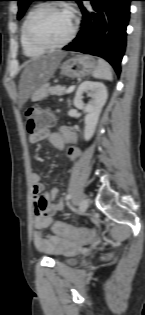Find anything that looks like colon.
<instances>
[{
  "instance_id": "obj_1",
  "label": "colon",
  "mask_w": 145,
  "mask_h": 315,
  "mask_svg": "<svg viewBox=\"0 0 145 315\" xmlns=\"http://www.w3.org/2000/svg\"><path fill=\"white\" fill-rule=\"evenodd\" d=\"M53 122V116L50 112L38 107H30L26 111V130L29 134H34L48 128ZM52 231L64 238L71 240H89L93 236V231L86 228H77L56 221L52 225Z\"/></svg>"
}]
</instances>
